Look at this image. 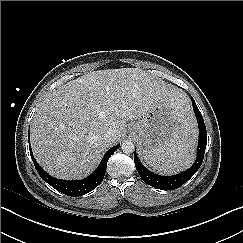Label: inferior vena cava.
Segmentation results:
<instances>
[{
    "instance_id": "inferior-vena-cava-1",
    "label": "inferior vena cava",
    "mask_w": 243,
    "mask_h": 243,
    "mask_svg": "<svg viewBox=\"0 0 243 243\" xmlns=\"http://www.w3.org/2000/svg\"><path fill=\"white\" fill-rule=\"evenodd\" d=\"M114 131L113 130H107L105 133H104V135H103V139L105 140V141H110V140H112L113 139V137H114Z\"/></svg>"
}]
</instances>
